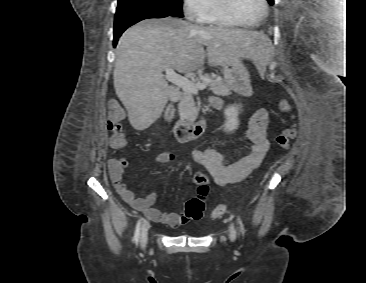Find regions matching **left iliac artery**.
I'll return each mask as SVG.
<instances>
[{
    "label": "left iliac artery",
    "mask_w": 366,
    "mask_h": 283,
    "mask_svg": "<svg viewBox=\"0 0 366 283\" xmlns=\"http://www.w3.org/2000/svg\"><path fill=\"white\" fill-rule=\"evenodd\" d=\"M237 222L239 224V230H240L241 234L243 235L244 234V227H243L242 221L239 217L237 218Z\"/></svg>",
    "instance_id": "1"
}]
</instances>
